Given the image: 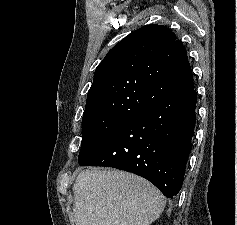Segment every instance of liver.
<instances>
[{"instance_id":"liver-1","label":"liver","mask_w":237,"mask_h":225,"mask_svg":"<svg viewBox=\"0 0 237 225\" xmlns=\"http://www.w3.org/2000/svg\"><path fill=\"white\" fill-rule=\"evenodd\" d=\"M76 225H150L166 199L149 181L120 170H83L73 185Z\"/></svg>"}]
</instances>
